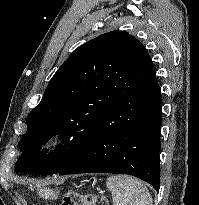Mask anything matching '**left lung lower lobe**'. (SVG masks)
<instances>
[{"label":"left lung lower lobe","instance_id":"0a47b994","mask_svg":"<svg viewBox=\"0 0 199 205\" xmlns=\"http://www.w3.org/2000/svg\"><path fill=\"white\" fill-rule=\"evenodd\" d=\"M161 106L155 69L144 48L128 89L107 111L85 150L59 174H129L158 191Z\"/></svg>","mask_w":199,"mask_h":205}]
</instances>
